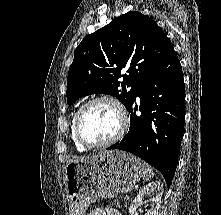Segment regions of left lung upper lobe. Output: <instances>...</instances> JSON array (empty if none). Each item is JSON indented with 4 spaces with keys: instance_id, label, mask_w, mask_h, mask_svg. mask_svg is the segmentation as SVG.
Listing matches in <instances>:
<instances>
[{
    "instance_id": "left-lung-upper-lobe-1",
    "label": "left lung upper lobe",
    "mask_w": 221,
    "mask_h": 215,
    "mask_svg": "<svg viewBox=\"0 0 221 215\" xmlns=\"http://www.w3.org/2000/svg\"><path fill=\"white\" fill-rule=\"evenodd\" d=\"M171 45L156 22L140 12L114 19L87 35L75 49L67 78V103L103 93L116 97L128 109L140 84ZM122 70L126 74L121 75Z\"/></svg>"
}]
</instances>
